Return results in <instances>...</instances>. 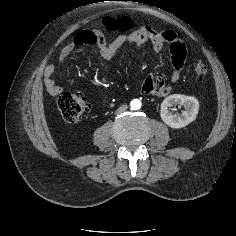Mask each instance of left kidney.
Masks as SVG:
<instances>
[{"label": "left kidney", "mask_w": 236, "mask_h": 236, "mask_svg": "<svg viewBox=\"0 0 236 236\" xmlns=\"http://www.w3.org/2000/svg\"><path fill=\"white\" fill-rule=\"evenodd\" d=\"M184 106L182 114H172L168 108L173 105ZM199 102L192 96L173 94L165 98L161 104V119L171 128L179 129L193 122L198 114Z\"/></svg>", "instance_id": "left-kidney-1"}]
</instances>
